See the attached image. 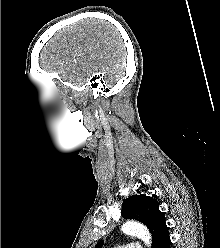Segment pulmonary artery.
<instances>
[{
	"mask_svg": "<svg viewBox=\"0 0 220 248\" xmlns=\"http://www.w3.org/2000/svg\"><path fill=\"white\" fill-rule=\"evenodd\" d=\"M117 248H141V246L139 244H136V243H131V244L119 246Z\"/></svg>",
	"mask_w": 220,
	"mask_h": 248,
	"instance_id": "obj_1",
	"label": "pulmonary artery"
}]
</instances>
